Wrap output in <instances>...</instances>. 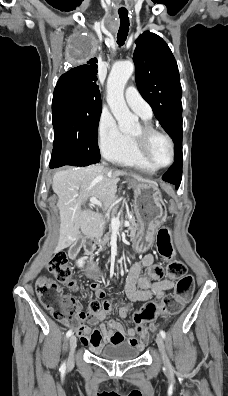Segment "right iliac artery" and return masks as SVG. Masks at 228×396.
Instances as JSON below:
<instances>
[{
    "mask_svg": "<svg viewBox=\"0 0 228 396\" xmlns=\"http://www.w3.org/2000/svg\"><path fill=\"white\" fill-rule=\"evenodd\" d=\"M72 335V330H68L66 333V337L69 338ZM66 369L65 363L62 364L61 370L64 371Z\"/></svg>",
    "mask_w": 228,
    "mask_h": 396,
    "instance_id": "82829eb1",
    "label": "right iliac artery"
}]
</instances>
